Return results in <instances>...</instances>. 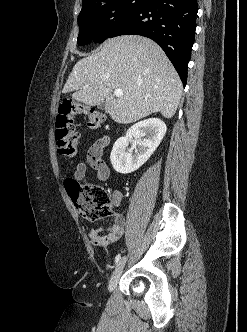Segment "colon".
<instances>
[{"mask_svg": "<svg viewBox=\"0 0 247 332\" xmlns=\"http://www.w3.org/2000/svg\"><path fill=\"white\" fill-rule=\"evenodd\" d=\"M84 114L90 129H97L104 121V115L94 107L63 102L55 120V140L58 152L73 157L77 153L79 136L73 126V116ZM65 188L78 208L80 214L91 221L110 217L113 214L112 199L100 186L95 184L81 185L74 178L65 180Z\"/></svg>", "mask_w": 247, "mask_h": 332, "instance_id": "5ec220e1", "label": "colon"}]
</instances>
